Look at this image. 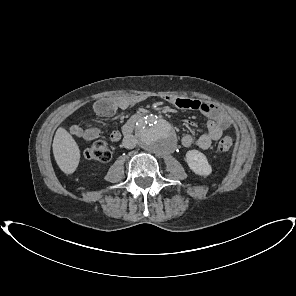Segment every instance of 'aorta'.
<instances>
[{"label":"aorta","mask_w":296,"mask_h":296,"mask_svg":"<svg viewBox=\"0 0 296 296\" xmlns=\"http://www.w3.org/2000/svg\"><path fill=\"white\" fill-rule=\"evenodd\" d=\"M137 138L144 150L155 155L170 153L176 146L175 131L171 124L155 115H147L138 121Z\"/></svg>","instance_id":"obj_1"}]
</instances>
